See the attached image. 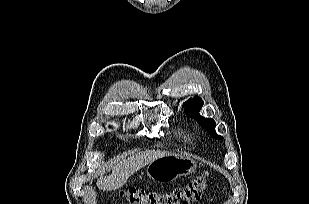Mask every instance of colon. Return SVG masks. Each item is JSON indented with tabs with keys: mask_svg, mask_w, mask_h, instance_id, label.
Returning <instances> with one entry per match:
<instances>
[{
	"mask_svg": "<svg viewBox=\"0 0 309 204\" xmlns=\"http://www.w3.org/2000/svg\"><path fill=\"white\" fill-rule=\"evenodd\" d=\"M207 183V175H201L186 185L169 192L159 193L128 189L121 194L129 204H192L201 197Z\"/></svg>",
	"mask_w": 309,
	"mask_h": 204,
	"instance_id": "obj_1",
	"label": "colon"
}]
</instances>
